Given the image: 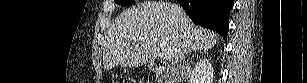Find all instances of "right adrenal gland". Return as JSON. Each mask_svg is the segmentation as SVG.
I'll list each match as a JSON object with an SVG mask.
<instances>
[{"label":"right adrenal gland","instance_id":"right-adrenal-gland-1","mask_svg":"<svg viewBox=\"0 0 307 83\" xmlns=\"http://www.w3.org/2000/svg\"><path fill=\"white\" fill-rule=\"evenodd\" d=\"M198 54L207 55V54H208V51H207V50H204V51L195 52V54L192 55L191 59H192L194 56L198 55Z\"/></svg>","mask_w":307,"mask_h":83}]
</instances>
